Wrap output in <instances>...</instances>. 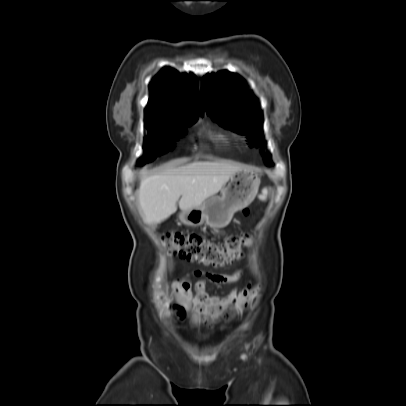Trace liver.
Here are the masks:
<instances>
[{
  "label": "liver",
  "instance_id": "6515ba94",
  "mask_svg": "<svg viewBox=\"0 0 406 406\" xmlns=\"http://www.w3.org/2000/svg\"><path fill=\"white\" fill-rule=\"evenodd\" d=\"M241 169L242 165L213 161L192 162L151 176L144 169L138 189L143 219L151 224L166 220L177 210L180 197L182 211L202 205Z\"/></svg>",
  "mask_w": 406,
  "mask_h": 406
}]
</instances>
